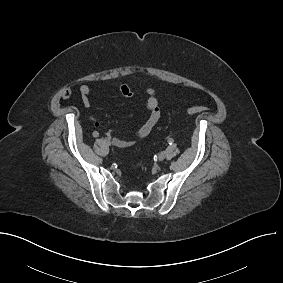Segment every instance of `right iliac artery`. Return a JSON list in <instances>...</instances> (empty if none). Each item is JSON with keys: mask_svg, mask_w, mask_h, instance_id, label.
Instances as JSON below:
<instances>
[{"mask_svg": "<svg viewBox=\"0 0 283 283\" xmlns=\"http://www.w3.org/2000/svg\"><path fill=\"white\" fill-rule=\"evenodd\" d=\"M94 136H98V132H94Z\"/></svg>", "mask_w": 283, "mask_h": 283, "instance_id": "obj_1", "label": "right iliac artery"}]
</instances>
